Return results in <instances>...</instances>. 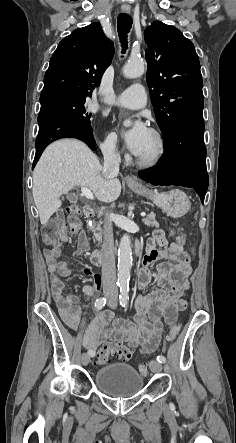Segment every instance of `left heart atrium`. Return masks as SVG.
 Returning <instances> with one entry per match:
<instances>
[{"label": "left heart atrium", "mask_w": 236, "mask_h": 443, "mask_svg": "<svg viewBox=\"0 0 236 443\" xmlns=\"http://www.w3.org/2000/svg\"><path fill=\"white\" fill-rule=\"evenodd\" d=\"M119 127L128 148L138 155L150 132L145 122L138 116L130 124L120 123Z\"/></svg>", "instance_id": "1"}]
</instances>
